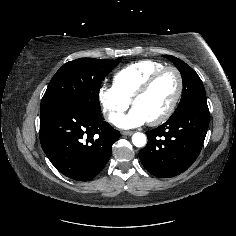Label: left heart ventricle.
Segmentation results:
<instances>
[{"instance_id":"1","label":"left heart ventricle","mask_w":236,"mask_h":236,"mask_svg":"<svg viewBox=\"0 0 236 236\" xmlns=\"http://www.w3.org/2000/svg\"><path fill=\"white\" fill-rule=\"evenodd\" d=\"M177 90V79L173 72L162 75L152 88L134 104L148 121L159 117L172 102Z\"/></svg>"}]
</instances>
